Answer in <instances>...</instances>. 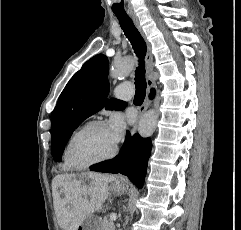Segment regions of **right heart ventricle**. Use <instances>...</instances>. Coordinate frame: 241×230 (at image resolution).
Returning <instances> with one entry per match:
<instances>
[{
	"instance_id": "right-heart-ventricle-1",
	"label": "right heart ventricle",
	"mask_w": 241,
	"mask_h": 230,
	"mask_svg": "<svg viewBox=\"0 0 241 230\" xmlns=\"http://www.w3.org/2000/svg\"><path fill=\"white\" fill-rule=\"evenodd\" d=\"M66 146H65V149L63 151V164H62V167H63L64 170H71L73 168L71 167V165L69 164V162L66 159Z\"/></svg>"
}]
</instances>
